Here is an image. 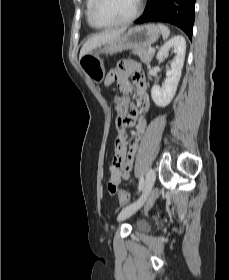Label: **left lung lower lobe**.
Wrapping results in <instances>:
<instances>
[{"instance_id": "left-lung-lower-lobe-1", "label": "left lung lower lobe", "mask_w": 229, "mask_h": 280, "mask_svg": "<svg viewBox=\"0 0 229 280\" xmlns=\"http://www.w3.org/2000/svg\"><path fill=\"white\" fill-rule=\"evenodd\" d=\"M196 0H148L144 14L135 21L141 24L149 21L168 22L182 29L192 38L194 4Z\"/></svg>"}]
</instances>
